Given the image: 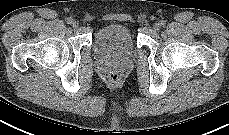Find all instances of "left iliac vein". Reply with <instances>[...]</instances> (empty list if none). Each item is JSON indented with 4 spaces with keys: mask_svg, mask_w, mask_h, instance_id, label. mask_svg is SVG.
I'll return each instance as SVG.
<instances>
[{
    "mask_svg": "<svg viewBox=\"0 0 229 135\" xmlns=\"http://www.w3.org/2000/svg\"><path fill=\"white\" fill-rule=\"evenodd\" d=\"M160 28H161L160 23H155V24L153 25L154 31H159Z\"/></svg>",
    "mask_w": 229,
    "mask_h": 135,
    "instance_id": "left-iliac-vein-1",
    "label": "left iliac vein"
}]
</instances>
